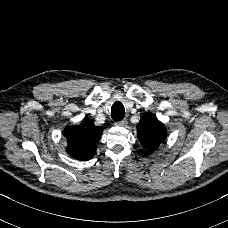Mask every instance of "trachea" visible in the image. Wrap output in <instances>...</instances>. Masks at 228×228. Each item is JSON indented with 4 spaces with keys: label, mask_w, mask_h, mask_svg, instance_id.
<instances>
[{
    "label": "trachea",
    "mask_w": 228,
    "mask_h": 228,
    "mask_svg": "<svg viewBox=\"0 0 228 228\" xmlns=\"http://www.w3.org/2000/svg\"><path fill=\"white\" fill-rule=\"evenodd\" d=\"M111 115L114 121L118 122L125 117V109L121 102L116 101L111 107Z\"/></svg>",
    "instance_id": "obj_1"
}]
</instances>
